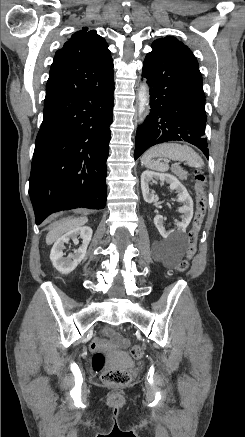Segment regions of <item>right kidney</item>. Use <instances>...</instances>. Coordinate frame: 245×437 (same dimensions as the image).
<instances>
[{
	"mask_svg": "<svg viewBox=\"0 0 245 437\" xmlns=\"http://www.w3.org/2000/svg\"><path fill=\"white\" fill-rule=\"evenodd\" d=\"M92 229L88 226H81L75 228L63 236H61L53 245L50 253V259L53 266L62 274H68L72 272L78 264L84 259L87 251V247L90 243L92 237ZM82 239V244L78 249H75L73 253H69L67 257L63 252L65 244L69 242L70 239L78 244L79 241L77 237Z\"/></svg>",
	"mask_w": 245,
	"mask_h": 437,
	"instance_id": "obj_1",
	"label": "right kidney"
}]
</instances>
